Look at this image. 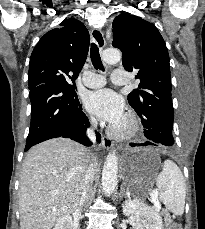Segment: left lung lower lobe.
Segmentation results:
<instances>
[{
  "label": "left lung lower lobe",
  "instance_id": "1",
  "mask_svg": "<svg viewBox=\"0 0 205 229\" xmlns=\"http://www.w3.org/2000/svg\"><path fill=\"white\" fill-rule=\"evenodd\" d=\"M145 137L149 140L141 145H156L168 143L170 134H166V130L162 127L153 128L151 131L144 133ZM131 146H135V144H130Z\"/></svg>",
  "mask_w": 205,
  "mask_h": 229
}]
</instances>
